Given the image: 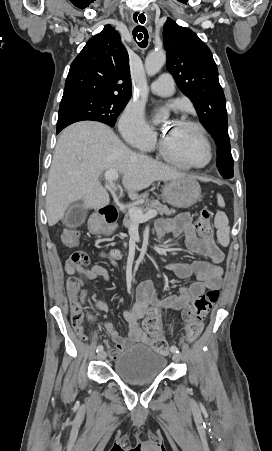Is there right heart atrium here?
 Listing matches in <instances>:
<instances>
[{"instance_id":"obj_1","label":"right heart atrium","mask_w":272,"mask_h":451,"mask_svg":"<svg viewBox=\"0 0 272 451\" xmlns=\"http://www.w3.org/2000/svg\"><path fill=\"white\" fill-rule=\"evenodd\" d=\"M120 128L126 141L133 147L145 149L154 139L155 133L145 120L142 108L130 105L120 119Z\"/></svg>"}]
</instances>
